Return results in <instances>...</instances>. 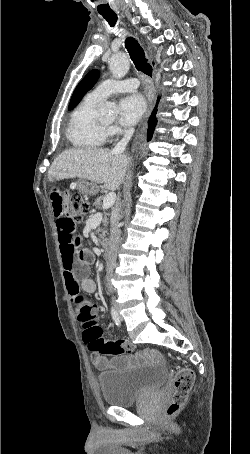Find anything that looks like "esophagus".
I'll return each instance as SVG.
<instances>
[{
	"label": "esophagus",
	"instance_id": "obj_1",
	"mask_svg": "<svg viewBox=\"0 0 250 454\" xmlns=\"http://www.w3.org/2000/svg\"><path fill=\"white\" fill-rule=\"evenodd\" d=\"M152 109H153V103H152V101L148 100V110H147L146 116H148L151 113Z\"/></svg>",
	"mask_w": 250,
	"mask_h": 454
}]
</instances>
